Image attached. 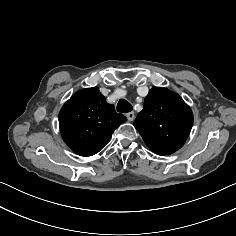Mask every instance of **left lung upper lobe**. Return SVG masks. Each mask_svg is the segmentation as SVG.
<instances>
[{
	"label": "left lung upper lobe",
	"instance_id": "5c2ea615",
	"mask_svg": "<svg viewBox=\"0 0 236 236\" xmlns=\"http://www.w3.org/2000/svg\"><path fill=\"white\" fill-rule=\"evenodd\" d=\"M193 124L190 107L175 92L153 87L134 126L146 145L158 155L172 154L188 138Z\"/></svg>",
	"mask_w": 236,
	"mask_h": 236
}]
</instances>
